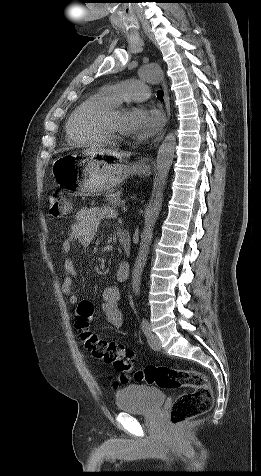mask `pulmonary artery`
I'll list each match as a JSON object with an SVG mask.
<instances>
[{
    "label": "pulmonary artery",
    "mask_w": 261,
    "mask_h": 476,
    "mask_svg": "<svg viewBox=\"0 0 261 476\" xmlns=\"http://www.w3.org/2000/svg\"><path fill=\"white\" fill-rule=\"evenodd\" d=\"M105 91L117 102L143 101L149 98V87L139 80H126L105 88Z\"/></svg>",
    "instance_id": "e3ab8cb5"
}]
</instances>
